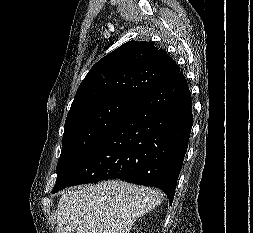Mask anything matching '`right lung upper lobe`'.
<instances>
[{"label": "right lung upper lobe", "instance_id": "1", "mask_svg": "<svg viewBox=\"0 0 253 233\" xmlns=\"http://www.w3.org/2000/svg\"><path fill=\"white\" fill-rule=\"evenodd\" d=\"M180 68L153 42L129 41L100 59L80 84L69 113L111 97L137 99Z\"/></svg>", "mask_w": 253, "mask_h": 233}]
</instances>
